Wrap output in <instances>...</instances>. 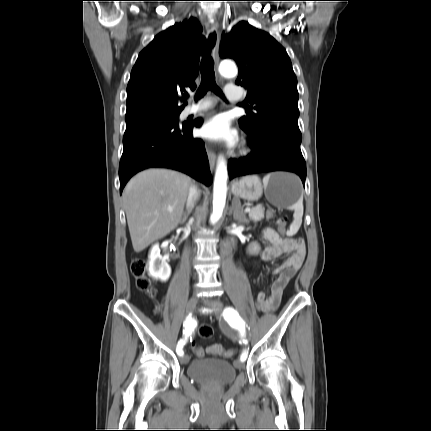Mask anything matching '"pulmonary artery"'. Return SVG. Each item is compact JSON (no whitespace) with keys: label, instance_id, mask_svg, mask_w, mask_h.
<instances>
[{"label":"pulmonary artery","instance_id":"1","mask_svg":"<svg viewBox=\"0 0 431 431\" xmlns=\"http://www.w3.org/2000/svg\"><path fill=\"white\" fill-rule=\"evenodd\" d=\"M224 92H225V97L230 101H239L242 98L241 89L234 84H227L225 86ZM211 105L212 104L210 101H207V100L201 101L196 105L188 106L184 110V113L186 115L196 114V113H199L201 111L207 110L208 108L211 107Z\"/></svg>","mask_w":431,"mask_h":431}]
</instances>
